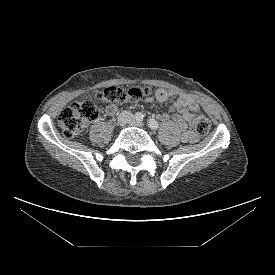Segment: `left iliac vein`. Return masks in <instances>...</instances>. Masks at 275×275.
<instances>
[{"label": "left iliac vein", "mask_w": 275, "mask_h": 275, "mask_svg": "<svg viewBox=\"0 0 275 275\" xmlns=\"http://www.w3.org/2000/svg\"><path fill=\"white\" fill-rule=\"evenodd\" d=\"M134 125L138 127H144V124L142 122H135Z\"/></svg>", "instance_id": "4c4485c4"}]
</instances>
